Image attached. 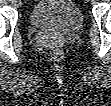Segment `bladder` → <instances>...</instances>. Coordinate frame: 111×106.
<instances>
[{
    "label": "bladder",
    "mask_w": 111,
    "mask_h": 106,
    "mask_svg": "<svg viewBox=\"0 0 111 106\" xmlns=\"http://www.w3.org/2000/svg\"><path fill=\"white\" fill-rule=\"evenodd\" d=\"M30 23L41 30L64 34L76 33L83 27V14L72 0H40L29 14Z\"/></svg>",
    "instance_id": "1"
}]
</instances>
